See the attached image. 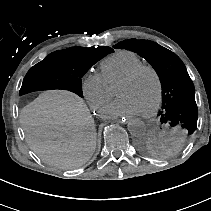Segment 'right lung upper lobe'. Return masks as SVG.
I'll list each match as a JSON object with an SVG mask.
<instances>
[{"instance_id": "cb5924a9", "label": "right lung upper lobe", "mask_w": 211, "mask_h": 211, "mask_svg": "<svg viewBox=\"0 0 211 211\" xmlns=\"http://www.w3.org/2000/svg\"><path fill=\"white\" fill-rule=\"evenodd\" d=\"M87 49H89V50H99V51L106 52L107 54H108V53L114 52V50H113L112 48L106 47V46L97 47V48H95V47H90V48H87Z\"/></svg>"}]
</instances>
